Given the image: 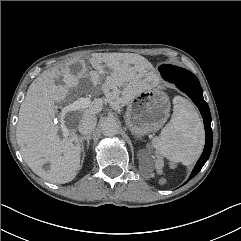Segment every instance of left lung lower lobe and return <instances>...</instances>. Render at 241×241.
Returning a JSON list of instances; mask_svg holds the SVG:
<instances>
[{
	"label": "left lung lower lobe",
	"instance_id": "obj_1",
	"mask_svg": "<svg viewBox=\"0 0 241 241\" xmlns=\"http://www.w3.org/2000/svg\"><path fill=\"white\" fill-rule=\"evenodd\" d=\"M165 79V78H164ZM171 83H175L176 86L186 93L192 101L195 103V105L199 108L202 116H203V121L205 125V133H206V143L204 147V151L199 158L197 164L195 165L193 172L190 176V178H193L203 167L207 159L209 158V155L212 150V130H211V115H210V110L207 105V103L204 101L203 98V91L200 86V83L198 79L192 80V81H176V80H170V79H165Z\"/></svg>",
	"mask_w": 241,
	"mask_h": 241
}]
</instances>
